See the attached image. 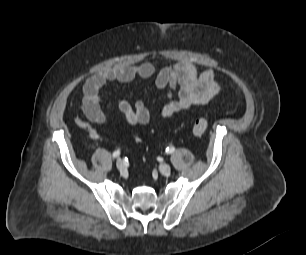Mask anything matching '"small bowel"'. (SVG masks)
<instances>
[{"instance_id": "small-bowel-1", "label": "small bowel", "mask_w": 306, "mask_h": 255, "mask_svg": "<svg viewBox=\"0 0 306 255\" xmlns=\"http://www.w3.org/2000/svg\"><path fill=\"white\" fill-rule=\"evenodd\" d=\"M155 76V86L159 90L168 89L160 110L162 118L188 111L195 105H205L220 91L221 83L214 70L199 73L190 62L181 61L173 65H163L158 69L150 62L131 66H114L89 77L83 86L82 115L76 114L74 122L88 131L91 139H97L98 125L108 119L100 106L101 95L109 82L128 83L136 78L149 79ZM118 109L129 127L147 125L151 119L150 108L144 101L134 104L120 100Z\"/></svg>"}]
</instances>
